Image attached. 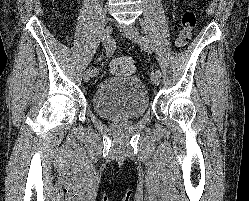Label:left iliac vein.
<instances>
[{
  "label": "left iliac vein",
  "mask_w": 249,
  "mask_h": 201,
  "mask_svg": "<svg viewBox=\"0 0 249 201\" xmlns=\"http://www.w3.org/2000/svg\"><path fill=\"white\" fill-rule=\"evenodd\" d=\"M125 35L127 36V38L138 42V38L140 36V33L138 32V30L134 27V26H128L124 29ZM160 77L156 72H152L151 73V81L154 85H159L160 83Z\"/></svg>",
  "instance_id": "1"
}]
</instances>
